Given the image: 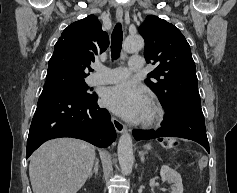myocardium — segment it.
Wrapping results in <instances>:
<instances>
[{"label":"myocardium","mask_w":237,"mask_h":193,"mask_svg":"<svg viewBox=\"0 0 237 193\" xmlns=\"http://www.w3.org/2000/svg\"><path fill=\"white\" fill-rule=\"evenodd\" d=\"M165 116L163 107L156 100L150 101V113L142 121L145 126H155L160 124Z\"/></svg>","instance_id":"myocardium-1"}]
</instances>
